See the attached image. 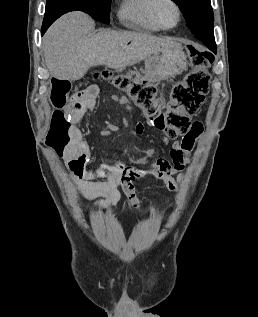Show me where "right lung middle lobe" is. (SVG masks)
Masks as SVG:
<instances>
[{
  "instance_id": "1",
  "label": "right lung middle lobe",
  "mask_w": 258,
  "mask_h": 317,
  "mask_svg": "<svg viewBox=\"0 0 258 317\" xmlns=\"http://www.w3.org/2000/svg\"><path fill=\"white\" fill-rule=\"evenodd\" d=\"M87 1L95 12V15L93 18L103 23H109L111 0H87Z\"/></svg>"
}]
</instances>
